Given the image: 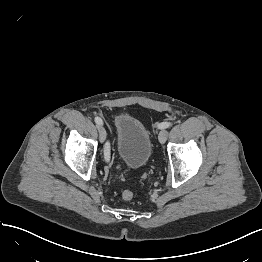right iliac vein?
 Here are the masks:
<instances>
[{
  "label": "right iliac vein",
  "instance_id": "obj_1",
  "mask_svg": "<svg viewBox=\"0 0 262 262\" xmlns=\"http://www.w3.org/2000/svg\"><path fill=\"white\" fill-rule=\"evenodd\" d=\"M98 132H99L100 142L103 143L106 139V129L102 125H99Z\"/></svg>",
  "mask_w": 262,
  "mask_h": 262
}]
</instances>
